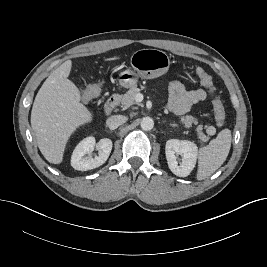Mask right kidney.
Listing matches in <instances>:
<instances>
[{"mask_svg": "<svg viewBox=\"0 0 267 267\" xmlns=\"http://www.w3.org/2000/svg\"><path fill=\"white\" fill-rule=\"evenodd\" d=\"M95 146L99 150V154L92 158L90 153L94 150ZM112 146V141L108 138H103L96 144L94 137H87L74 149L71 156V166L80 171L95 169L106 162L111 153Z\"/></svg>", "mask_w": 267, "mask_h": 267, "instance_id": "1", "label": "right kidney"}]
</instances>
